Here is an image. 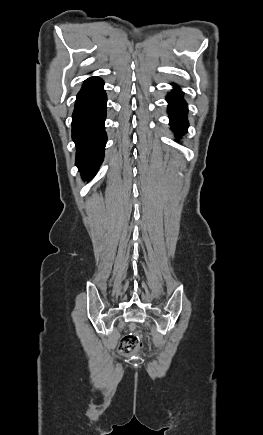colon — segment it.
<instances>
[{
	"instance_id": "obj_1",
	"label": "colon",
	"mask_w": 263,
	"mask_h": 435,
	"mask_svg": "<svg viewBox=\"0 0 263 435\" xmlns=\"http://www.w3.org/2000/svg\"><path fill=\"white\" fill-rule=\"evenodd\" d=\"M141 346L140 338L135 333L124 335L119 343V351L123 354H130L138 350Z\"/></svg>"
}]
</instances>
